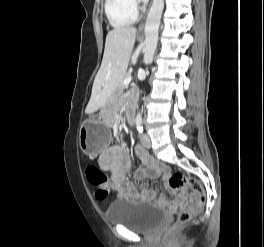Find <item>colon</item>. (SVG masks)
<instances>
[{
	"label": "colon",
	"instance_id": "5ec220e1",
	"mask_svg": "<svg viewBox=\"0 0 264 247\" xmlns=\"http://www.w3.org/2000/svg\"><path fill=\"white\" fill-rule=\"evenodd\" d=\"M86 177L95 189V196L98 199H105L109 194V183L106 174L95 166L86 168ZM169 187L181 195L176 202L175 226L187 224L199 213L206 202V194L202 185L195 178L183 173L175 172L168 180ZM187 191L192 192V197L185 198Z\"/></svg>",
	"mask_w": 264,
	"mask_h": 247
}]
</instances>
